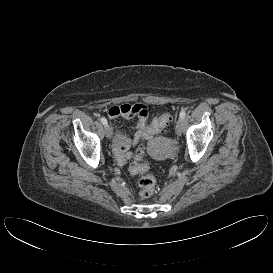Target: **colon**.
I'll return each instance as SVG.
<instances>
[{"mask_svg":"<svg viewBox=\"0 0 273 273\" xmlns=\"http://www.w3.org/2000/svg\"><path fill=\"white\" fill-rule=\"evenodd\" d=\"M173 117L170 113H163L156 117L152 123L145 129L144 138L151 139L165 129ZM134 175H139L138 180L139 195L147 199L152 197L156 192V178L149 172V164L145 161V154L142 148L138 149L133 162L129 168Z\"/></svg>","mask_w":273,"mask_h":273,"instance_id":"5ec220e1","label":"colon"}]
</instances>
